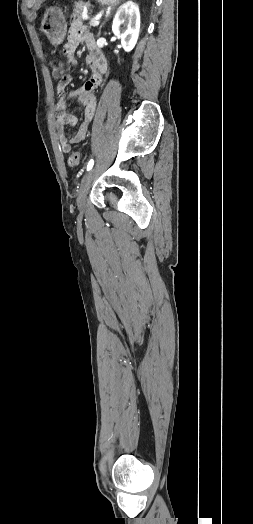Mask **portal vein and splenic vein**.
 Segmentation results:
<instances>
[{
	"instance_id": "18ae733b",
	"label": "portal vein and splenic vein",
	"mask_w": 253,
	"mask_h": 524,
	"mask_svg": "<svg viewBox=\"0 0 253 524\" xmlns=\"http://www.w3.org/2000/svg\"><path fill=\"white\" fill-rule=\"evenodd\" d=\"M99 21L98 19H92L90 20L89 24L92 25V26H98L99 25Z\"/></svg>"
}]
</instances>
